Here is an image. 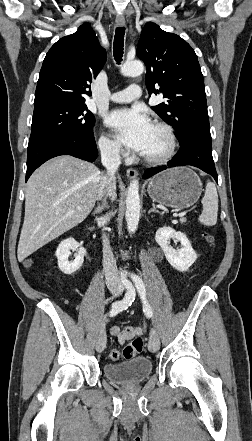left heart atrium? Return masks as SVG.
Segmentation results:
<instances>
[{
    "mask_svg": "<svg viewBox=\"0 0 252 441\" xmlns=\"http://www.w3.org/2000/svg\"><path fill=\"white\" fill-rule=\"evenodd\" d=\"M116 138L129 149L144 153L153 128L148 116L139 108L120 109L106 118Z\"/></svg>",
    "mask_w": 252,
    "mask_h": 441,
    "instance_id": "obj_1",
    "label": "left heart atrium"
}]
</instances>
